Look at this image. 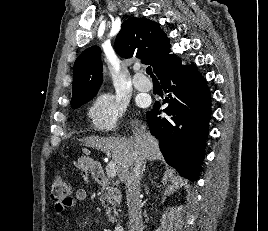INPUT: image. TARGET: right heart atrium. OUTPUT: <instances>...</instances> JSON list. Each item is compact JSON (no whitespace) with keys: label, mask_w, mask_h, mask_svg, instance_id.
Instances as JSON below:
<instances>
[{"label":"right heart atrium","mask_w":268,"mask_h":231,"mask_svg":"<svg viewBox=\"0 0 268 231\" xmlns=\"http://www.w3.org/2000/svg\"><path fill=\"white\" fill-rule=\"evenodd\" d=\"M125 110L126 103L120 96L102 92L92 101L88 116L97 130L109 132L118 128Z\"/></svg>","instance_id":"d8ad5b80"}]
</instances>
